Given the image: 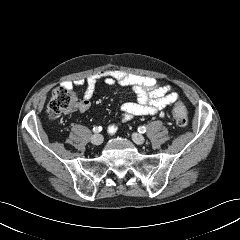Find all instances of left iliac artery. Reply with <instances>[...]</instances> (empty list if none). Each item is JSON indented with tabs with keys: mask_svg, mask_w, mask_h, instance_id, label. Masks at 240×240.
Instances as JSON below:
<instances>
[{
	"mask_svg": "<svg viewBox=\"0 0 240 240\" xmlns=\"http://www.w3.org/2000/svg\"><path fill=\"white\" fill-rule=\"evenodd\" d=\"M138 132L139 133H145L146 132V128L144 126H139L138 127Z\"/></svg>",
	"mask_w": 240,
	"mask_h": 240,
	"instance_id": "1",
	"label": "left iliac artery"
}]
</instances>
